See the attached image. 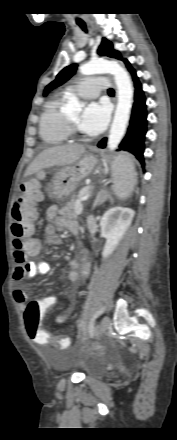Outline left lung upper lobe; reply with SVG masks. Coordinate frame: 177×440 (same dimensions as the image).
Instances as JSON below:
<instances>
[{
    "label": "left lung upper lobe",
    "instance_id": "5c2ea615",
    "mask_svg": "<svg viewBox=\"0 0 177 440\" xmlns=\"http://www.w3.org/2000/svg\"><path fill=\"white\" fill-rule=\"evenodd\" d=\"M98 53L100 55L108 56L111 58H116L119 60H123L127 66V68H130V64L126 59H123L120 55V53L113 48V44L108 41L107 39L103 38L101 45L98 49ZM77 69L76 64L69 65L65 67L60 73L57 75L56 79L52 81L44 90V96L48 94L52 89L62 85L64 82H66L71 76L75 74V71Z\"/></svg>",
    "mask_w": 177,
    "mask_h": 440
}]
</instances>
